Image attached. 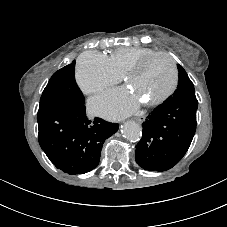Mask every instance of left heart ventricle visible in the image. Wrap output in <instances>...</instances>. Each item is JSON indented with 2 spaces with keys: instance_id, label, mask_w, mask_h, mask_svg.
<instances>
[{
  "instance_id": "left-heart-ventricle-1",
  "label": "left heart ventricle",
  "mask_w": 227,
  "mask_h": 227,
  "mask_svg": "<svg viewBox=\"0 0 227 227\" xmlns=\"http://www.w3.org/2000/svg\"><path fill=\"white\" fill-rule=\"evenodd\" d=\"M173 81L170 61L162 56L152 59L141 71L128 81L134 95L143 102L153 100L165 93Z\"/></svg>"
}]
</instances>
